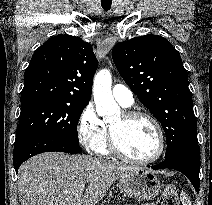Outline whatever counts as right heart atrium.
I'll return each mask as SVG.
<instances>
[{"mask_svg":"<svg viewBox=\"0 0 212 205\" xmlns=\"http://www.w3.org/2000/svg\"><path fill=\"white\" fill-rule=\"evenodd\" d=\"M104 133L103 121L99 118L92 103L87 104L81 111L76 134L79 143L87 150H94Z\"/></svg>","mask_w":212,"mask_h":205,"instance_id":"obj_1","label":"right heart atrium"}]
</instances>
